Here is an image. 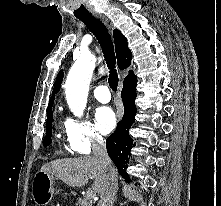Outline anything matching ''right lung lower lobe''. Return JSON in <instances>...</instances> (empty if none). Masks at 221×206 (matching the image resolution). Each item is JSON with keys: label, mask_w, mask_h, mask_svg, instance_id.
Returning <instances> with one entry per match:
<instances>
[{"label": "right lung lower lobe", "mask_w": 221, "mask_h": 206, "mask_svg": "<svg viewBox=\"0 0 221 206\" xmlns=\"http://www.w3.org/2000/svg\"><path fill=\"white\" fill-rule=\"evenodd\" d=\"M136 83L137 79L133 73L125 78L121 92L124 105V116L122 120L119 121L116 132L111 134L106 140L108 155L116 165L119 174L127 182H130V177L126 172V167L131 156L130 149L135 146L128 131L135 121Z\"/></svg>", "instance_id": "obj_1"}]
</instances>
